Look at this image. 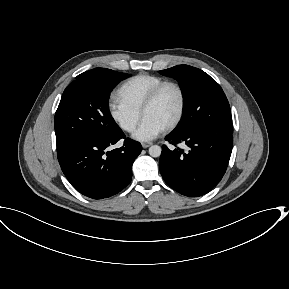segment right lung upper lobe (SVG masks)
<instances>
[{"label": "right lung upper lobe", "mask_w": 289, "mask_h": 289, "mask_svg": "<svg viewBox=\"0 0 289 289\" xmlns=\"http://www.w3.org/2000/svg\"><path fill=\"white\" fill-rule=\"evenodd\" d=\"M111 70L110 69H104V68H95L89 71H86L80 75L84 76H99V75H104L109 73Z\"/></svg>", "instance_id": "right-lung-upper-lobe-1"}]
</instances>
